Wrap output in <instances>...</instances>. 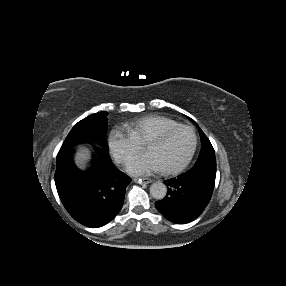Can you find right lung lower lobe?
<instances>
[{
	"label": "right lung lower lobe",
	"instance_id": "obj_1",
	"mask_svg": "<svg viewBox=\"0 0 286 286\" xmlns=\"http://www.w3.org/2000/svg\"><path fill=\"white\" fill-rule=\"evenodd\" d=\"M86 171L75 167L69 152H59L55 184L59 197L79 223L98 228L110 222L120 211L131 179L119 171L108 155L93 157Z\"/></svg>",
	"mask_w": 286,
	"mask_h": 286
}]
</instances>
